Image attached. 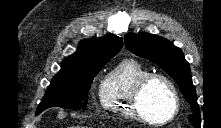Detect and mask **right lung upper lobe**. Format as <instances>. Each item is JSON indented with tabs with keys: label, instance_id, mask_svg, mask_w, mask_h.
Wrapping results in <instances>:
<instances>
[{
	"label": "right lung upper lobe",
	"instance_id": "right-lung-upper-lobe-1",
	"mask_svg": "<svg viewBox=\"0 0 221 128\" xmlns=\"http://www.w3.org/2000/svg\"><path fill=\"white\" fill-rule=\"evenodd\" d=\"M122 46V40L114 35L84 40L80 43L76 53L63 60L60 72L99 63L112 55H116Z\"/></svg>",
	"mask_w": 221,
	"mask_h": 128
}]
</instances>
